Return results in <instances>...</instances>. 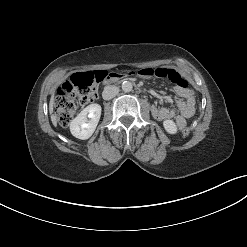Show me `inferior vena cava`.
<instances>
[{"label":"inferior vena cava","mask_w":247,"mask_h":247,"mask_svg":"<svg viewBox=\"0 0 247 247\" xmlns=\"http://www.w3.org/2000/svg\"><path fill=\"white\" fill-rule=\"evenodd\" d=\"M119 93V88L117 86H106L102 92V97L104 100H110L114 98Z\"/></svg>","instance_id":"inferior-vena-cava-1"}]
</instances>
